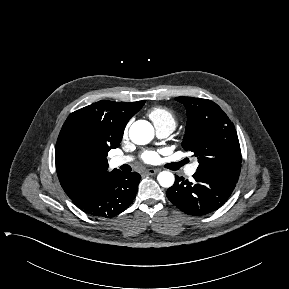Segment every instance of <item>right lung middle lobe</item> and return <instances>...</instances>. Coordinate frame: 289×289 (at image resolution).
Segmentation results:
<instances>
[{
  "mask_svg": "<svg viewBox=\"0 0 289 289\" xmlns=\"http://www.w3.org/2000/svg\"><path fill=\"white\" fill-rule=\"evenodd\" d=\"M75 145L82 157L90 158L93 155L92 149L87 147L80 139L76 140Z\"/></svg>",
  "mask_w": 289,
  "mask_h": 289,
  "instance_id": "1",
  "label": "right lung middle lobe"
}]
</instances>
